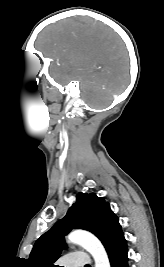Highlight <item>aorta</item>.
<instances>
[{
  "instance_id": "aorta-1",
  "label": "aorta",
  "mask_w": 164,
  "mask_h": 267,
  "mask_svg": "<svg viewBox=\"0 0 164 267\" xmlns=\"http://www.w3.org/2000/svg\"><path fill=\"white\" fill-rule=\"evenodd\" d=\"M67 240L69 243L78 244L88 251L95 261V267H110L108 255L102 243L93 234L77 230L71 232Z\"/></svg>"
}]
</instances>
